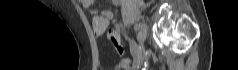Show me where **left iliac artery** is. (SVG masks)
I'll return each mask as SVG.
<instances>
[{"label":"left iliac artery","mask_w":238,"mask_h":70,"mask_svg":"<svg viewBox=\"0 0 238 70\" xmlns=\"http://www.w3.org/2000/svg\"><path fill=\"white\" fill-rule=\"evenodd\" d=\"M140 28V24L135 25V29L138 30Z\"/></svg>","instance_id":"obj_1"}]
</instances>
